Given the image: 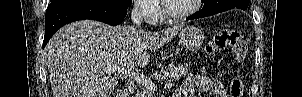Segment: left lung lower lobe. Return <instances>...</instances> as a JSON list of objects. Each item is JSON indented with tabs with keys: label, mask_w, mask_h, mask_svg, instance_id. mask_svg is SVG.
<instances>
[{
	"label": "left lung lower lobe",
	"mask_w": 302,
	"mask_h": 97,
	"mask_svg": "<svg viewBox=\"0 0 302 97\" xmlns=\"http://www.w3.org/2000/svg\"><path fill=\"white\" fill-rule=\"evenodd\" d=\"M239 9L246 10L247 7H242V8H239ZM219 12L220 11L215 10V9H210V8L208 9V8H204L203 7L200 12H197V13L189 16L186 20H192V19L202 18V17H206V16H210V15L219 13Z\"/></svg>",
	"instance_id": "left-lung-lower-lobe-1"
}]
</instances>
